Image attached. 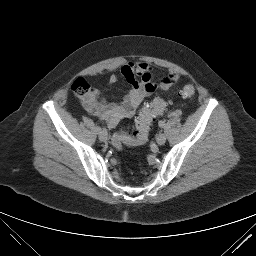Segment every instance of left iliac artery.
<instances>
[{"label":"left iliac artery","mask_w":256,"mask_h":256,"mask_svg":"<svg viewBox=\"0 0 256 256\" xmlns=\"http://www.w3.org/2000/svg\"><path fill=\"white\" fill-rule=\"evenodd\" d=\"M164 125H165V123H164L163 121H160V122H159V126H160L161 128H163Z\"/></svg>","instance_id":"obj_1"}]
</instances>
